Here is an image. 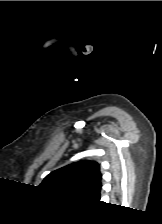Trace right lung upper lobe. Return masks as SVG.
<instances>
[{
  "instance_id": "right-lung-upper-lobe-1",
  "label": "right lung upper lobe",
  "mask_w": 162,
  "mask_h": 224,
  "mask_svg": "<svg viewBox=\"0 0 162 224\" xmlns=\"http://www.w3.org/2000/svg\"><path fill=\"white\" fill-rule=\"evenodd\" d=\"M40 187L98 202L101 190L100 167L94 161L75 162L51 172Z\"/></svg>"
}]
</instances>
